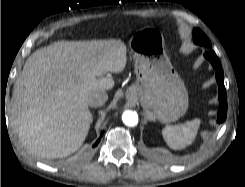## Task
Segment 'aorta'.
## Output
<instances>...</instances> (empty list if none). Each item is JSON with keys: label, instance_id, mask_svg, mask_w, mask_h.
Returning <instances> with one entry per match:
<instances>
[{"label": "aorta", "instance_id": "1", "mask_svg": "<svg viewBox=\"0 0 245 187\" xmlns=\"http://www.w3.org/2000/svg\"><path fill=\"white\" fill-rule=\"evenodd\" d=\"M122 120L126 126H136L138 124V114L131 110H127L123 113Z\"/></svg>", "mask_w": 245, "mask_h": 187}]
</instances>
